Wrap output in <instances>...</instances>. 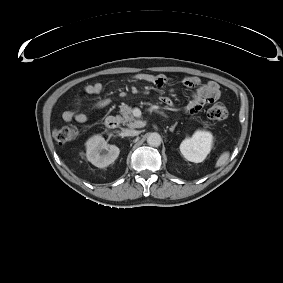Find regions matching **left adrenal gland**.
I'll return each mask as SVG.
<instances>
[{
  "label": "left adrenal gland",
  "instance_id": "obj_1",
  "mask_svg": "<svg viewBox=\"0 0 283 283\" xmlns=\"http://www.w3.org/2000/svg\"><path fill=\"white\" fill-rule=\"evenodd\" d=\"M177 122L173 125V126H171L170 128H169V130L171 131V132H173L174 131V129H175V127L177 126Z\"/></svg>",
  "mask_w": 283,
  "mask_h": 283
}]
</instances>
